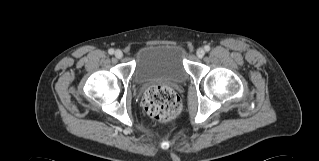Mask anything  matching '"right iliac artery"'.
<instances>
[{"instance_id": "1", "label": "right iliac artery", "mask_w": 319, "mask_h": 161, "mask_svg": "<svg viewBox=\"0 0 319 161\" xmlns=\"http://www.w3.org/2000/svg\"><path fill=\"white\" fill-rule=\"evenodd\" d=\"M108 53H109L110 55H112V54L114 53V50H113V49H109V50H108Z\"/></svg>"}]
</instances>
